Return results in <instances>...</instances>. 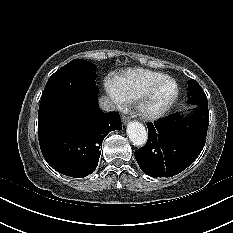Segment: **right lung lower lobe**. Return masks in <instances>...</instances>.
I'll return each mask as SVG.
<instances>
[{
  "mask_svg": "<svg viewBox=\"0 0 233 233\" xmlns=\"http://www.w3.org/2000/svg\"><path fill=\"white\" fill-rule=\"evenodd\" d=\"M97 101V93L80 90L72 114H56L38 121L41 152L63 175L82 178L92 173L98 165L104 137L122 129L119 114H104Z\"/></svg>",
  "mask_w": 233,
  "mask_h": 233,
  "instance_id": "obj_1",
  "label": "right lung lower lobe"
}]
</instances>
